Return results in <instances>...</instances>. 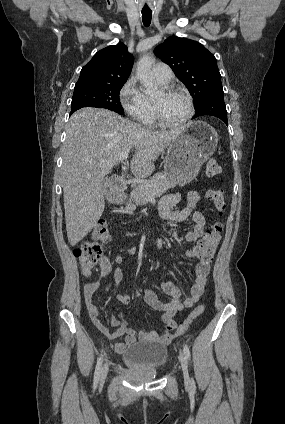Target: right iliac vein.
<instances>
[{
  "mask_svg": "<svg viewBox=\"0 0 285 424\" xmlns=\"http://www.w3.org/2000/svg\"><path fill=\"white\" fill-rule=\"evenodd\" d=\"M108 370H109V365H108V363H105L101 368L100 382H104V380H105V378L108 374Z\"/></svg>",
  "mask_w": 285,
  "mask_h": 424,
  "instance_id": "obj_1",
  "label": "right iliac vein"
}]
</instances>
